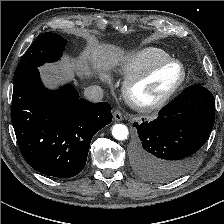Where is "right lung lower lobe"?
I'll list each match as a JSON object with an SVG mask.
<instances>
[{
    "label": "right lung lower lobe",
    "mask_w": 224,
    "mask_h": 224,
    "mask_svg": "<svg viewBox=\"0 0 224 224\" xmlns=\"http://www.w3.org/2000/svg\"><path fill=\"white\" fill-rule=\"evenodd\" d=\"M11 121L33 169L70 178L84 169L94 134L111 123V105L80 98L71 85L49 91L34 68L14 83Z\"/></svg>",
    "instance_id": "right-lung-lower-lobe-1"
}]
</instances>
